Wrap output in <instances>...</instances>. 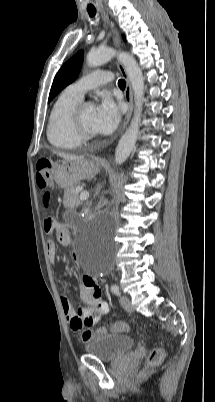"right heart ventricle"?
<instances>
[{
  "label": "right heart ventricle",
  "instance_id": "right-heart-ventricle-1",
  "mask_svg": "<svg viewBox=\"0 0 215 402\" xmlns=\"http://www.w3.org/2000/svg\"><path fill=\"white\" fill-rule=\"evenodd\" d=\"M81 99L68 88L56 98L47 125V139L55 148L71 150L81 145L82 140L76 136L70 122L71 111Z\"/></svg>",
  "mask_w": 215,
  "mask_h": 402
}]
</instances>
